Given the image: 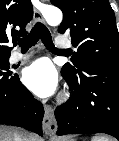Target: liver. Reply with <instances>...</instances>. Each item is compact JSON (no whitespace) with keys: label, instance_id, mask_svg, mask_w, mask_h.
<instances>
[{"label":"liver","instance_id":"1","mask_svg":"<svg viewBox=\"0 0 119 141\" xmlns=\"http://www.w3.org/2000/svg\"><path fill=\"white\" fill-rule=\"evenodd\" d=\"M16 132L8 127L0 126V141H14ZM26 141H36L37 137L33 134L25 133L22 134Z\"/></svg>","mask_w":119,"mask_h":141}]
</instances>
